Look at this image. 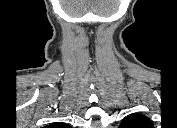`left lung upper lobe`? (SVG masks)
Returning <instances> with one entry per match:
<instances>
[{
    "instance_id": "obj_1",
    "label": "left lung upper lobe",
    "mask_w": 177,
    "mask_h": 128,
    "mask_svg": "<svg viewBox=\"0 0 177 128\" xmlns=\"http://www.w3.org/2000/svg\"><path fill=\"white\" fill-rule=\"evenodd\" d=\"M149 118L142 114H133L121 122L120 128H152Z\"/></svg>"
}]
</instances>
